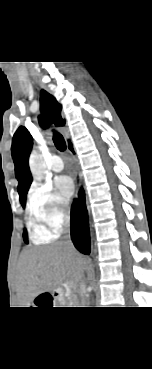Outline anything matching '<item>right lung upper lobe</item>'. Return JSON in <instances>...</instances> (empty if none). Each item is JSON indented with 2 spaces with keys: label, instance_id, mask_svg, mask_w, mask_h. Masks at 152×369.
I'll use <instances>...</instances> for the list:
<instances>
[{
  "label": "right lung upper lobe",
  "instance_id": "obj_1",
  "mask_svg": "<svg viewBox=\"0 0 152 369\" xmlns=\"http://www.w3.org/2000/svg\"><path fill=\"white\" fill-rule=\"evenodd\" d=\"M41 112L39 116L40 125L47 128L48 122H54L56 126L64 125L65 121L61 118V105L56 99L42 90L41 92ZM32 149V136L28 130L20 126L13 136L12 158L15 164V175L18 180V193L20 202H26V194L32 182V176L28 166V158Z\"/></svg>",
  "mask_w": 152,
  "mask_h": 369
}]
</instances>
